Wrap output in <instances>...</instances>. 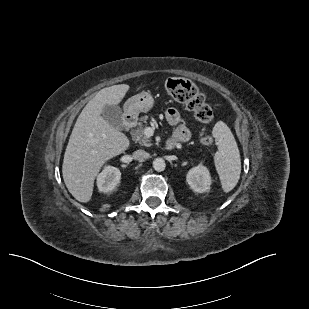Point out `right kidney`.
Listing matches in <instances>:
<instances>
[{"instance_id": "1", "label": "right kidney", "mask_w": 309, "mask_h": 309, "mask_svg": "<svg viewBox=\"0 0 309 309\" xmlns=\"http://www.w3.org/2000/svg\"><path fill=\"white\" fill-rule=\"evenodd\" d=\"M121 172L113 166H106L97 177V187L100 192L112 191L120 183Z\"/></svg>"}]
</instances>
